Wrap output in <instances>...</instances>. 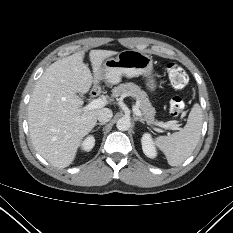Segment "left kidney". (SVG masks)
<instances>
[{
    "instance_id": "1",
    "label": "left kidney",
    "mask_w": 233,
    "mask_h": 233,
    "mask_svg": "<svg viewBox=\"0 0 233 233\" xmlns=\"http://www.w3.org/2000/svg\"><path fill=\"white\" fill-rule=\"evenodd\" d=\"M141 143H142V150L147 157L155 158L157 156L156 147L149 133L143 134L141 138Z\"/></svg>"
}]
</instances>
